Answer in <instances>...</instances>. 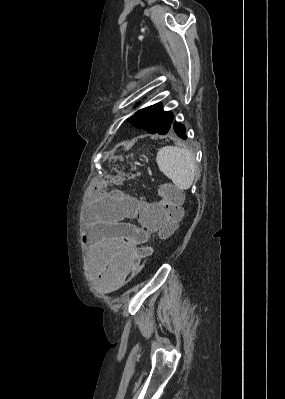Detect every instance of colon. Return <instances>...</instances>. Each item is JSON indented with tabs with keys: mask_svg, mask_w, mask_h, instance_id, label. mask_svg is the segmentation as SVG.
<instances>
[{
	"mask_svg": "<svg viewBox=\"0 0 285 399\" xmlns=\"http://www.w3.org/2000/svg\"><path fill=\"white\" fill-rule=\"evenodd\" d=\"M106 181H113L112 178H105ZM95 185L99 186V182ZM160 196L162 197L161 207L165 210L168 220L165 226L161 229L159 236L162 239L169 237L176 228L177 222L181 215V192L179 189L170 185H161L158 187ZM116 196L125 197L126 192L116 190ZM152 248L150 245H143L136 248L135 258L133 260V271L139 273L142 270V261L145 257L151 254Z\"/></svg>",
	"mask_w": 285,
	"mask_h": 399,
	"instance_id": "5ec220e1",
	"label": "colon"
}]
</instances>
